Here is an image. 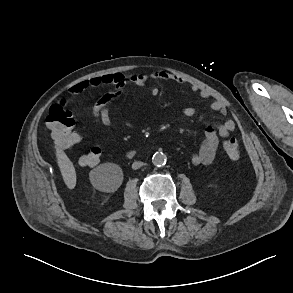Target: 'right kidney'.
Here are the masks:
<instances>
[{
  "label": "right kidney",
  "mask_w": 293,
  "mask_h": 293,
  "mask_svg": "<svg viewBox=\"0 0 293 293\" xmlns=\"http://www.w3.org/2000/svg\"><path fill=\"white\" fill-rule=\"evenodd\" d=\"M103 180L106 184L99 186L101 190H116L122 183V169L114 163H105L101 166Z\"/></svg>",
  "instance_id": "obj_1"
}]
</instances>
